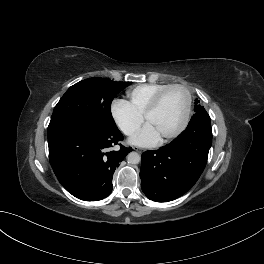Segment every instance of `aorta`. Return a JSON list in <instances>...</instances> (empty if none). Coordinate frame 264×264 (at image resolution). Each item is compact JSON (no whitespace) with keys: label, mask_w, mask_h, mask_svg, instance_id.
Returning <instances> with one entry per match:
<instances>
[{"label":"aorta","mask_w":264,"mask_h":264,"mask_svg":"<svg viewBox=\"0 0 264 264\" xmlns=\"http://www.w3.org/2000/svg\"><path fill=\"white\" fill-rule=\"evenodd\" d=\"M127 161L130 164H138L141 161V157L137 152H130L127 155Z\"/></svg>","instance_id":"aorta-1"}]
</instances>
